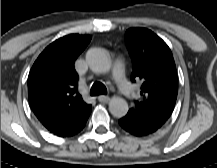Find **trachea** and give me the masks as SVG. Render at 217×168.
I'll return each instance as SVG.
<instances>
[{"mask_svg":"<svg viewBox=\"0 0 217 168\" xmlns=\"http://www.w3.org/2000/svg\"><path fill=\"white\" fill-rule=\"evenodd\" d=\"M107 93V89L105 87L104 84L100 83V82H95L90 90V94L92 96H96V95H102V94H106Z\"/></svg>","mask_w":217,"mask_h":168,"instance_id":"3493384b","label":"trachea"}]
</instances>
